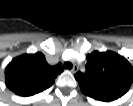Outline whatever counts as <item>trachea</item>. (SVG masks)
Here are the masks:
<instances>
[{
	"label": "trachea",
	"instance_id": "obj_1",
	"mask_svg": "<svg viewBox=\"0 0 133 106\" xmlns=\"http://www.w3.org/2000/svg\"><path fill=\"white\" fill-rule=\"evenodd\" d=\"M63 67L65 69H71L72 68V64L70 62H65L64 65H63Z\"/></svg>",
	"mask_w": 133,
	"mask_h": 106
}]
</instances>
